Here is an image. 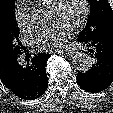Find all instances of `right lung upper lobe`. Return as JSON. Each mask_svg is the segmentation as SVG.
<instances>
[{
	"mask_svg": "<svg viewBox=\"0 0 113 113\" xmlns=\"http://www.w3.org/2000/svg\"><path fill=\"white\" fill-rule=\"evenodd\" d=\"M1 1V0H0ZM4 65L3 64H0V73L3 71V69H4Z\"/></svg>",
	"mask_w": 113,
	"mask_h": 113,
	"instance_id": "right-lung-upper-lobe-1",
	"label": "right lung upper lobe"
}]
</instances>
